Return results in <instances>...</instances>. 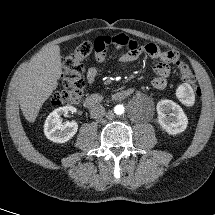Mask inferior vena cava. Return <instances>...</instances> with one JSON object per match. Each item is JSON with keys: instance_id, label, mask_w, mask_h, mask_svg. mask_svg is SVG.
Returning <instances> with one entry per match:
<instances>
[{"instance_id": "obj_1", "label": "inferior vena cava", "mask_w": 215, "mask_h": 215, "mask_svg": "<svg viewBox=\"0 0 215 215\" xmlns=\"http://www.w3.org/2000/svg\"><path fill=\"white\" fill-rule=\"evenodd\" d=\"M105 108L101 104H95L90 108V116L94 119H99L105 115Z\"/></svg>"}]
</instances>
